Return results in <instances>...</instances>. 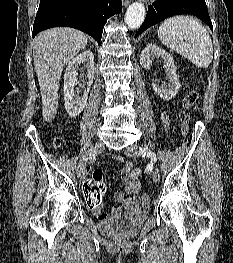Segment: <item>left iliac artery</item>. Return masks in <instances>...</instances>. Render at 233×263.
I'll return each instance as SVG.
<instances>
[{"mask_svg":"<svg viewBox=\"0 0 233 263\" xmlns=\"http://www.w3.org/2000/svg\"><path fill=\"white\" fill-rule=\"evenodd\" d=\"M139 153H140L142 156H148V157H150L154 162L157 161L156 155H155L150 149H148L147 147L140 148Z\"/></svg>","mask_w":233,"mask_h":263,"instance_id":"obj_1","label":"left iliac artery"}]
</instances>
